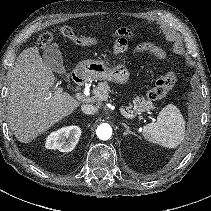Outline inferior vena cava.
Instances as JSON below:
<instances>
[{
	"instance_id": "inferior-vena-cava-1",
	"label": "inferior vena cava",
	"mask_w": 211,
	"mask_h": 211,
	"mask_svg": "<svg viewBox=\"0 0 211 211\" xmlns=\"http://www.w3.org/2000/svg\"><path fill=\"white\" fill-rule=\"evenodd\" d=\"M81 110H82V112L84 114H88V115L89 114L93 115V114H95V113L98 112L97 107L94 106V105H90V104H84V105H82L81 106Z\"/></svg>"
}]
</instances>
